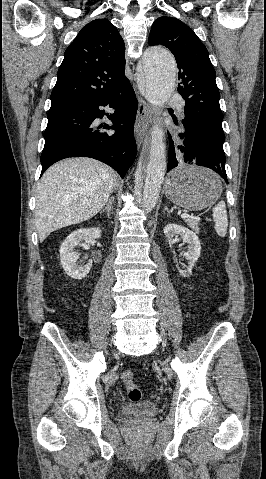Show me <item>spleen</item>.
<instances>
[{
  "mask_svg": "<svg viewBox=\"0 0 266 479\" xmlns=\"http://www.w3.org/2000/svg\"><path fill=\"white\" fill-rule=\"evenodd\" d=\"M215 222L214 229L220 237H225L228 227L227 211L224 201H220L212 209Z\"/></svg>",
  "mask_w": 266,
  "mask_h": 479,
  "instance_id": "3e777b00",
  "label": "spleen"
}]
</instances>
